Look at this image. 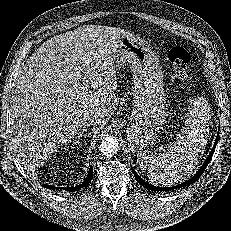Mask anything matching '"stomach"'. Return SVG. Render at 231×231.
Wrapping results in <instances>:
<instances>
[{"label":"stomach","instance_id":"1","mask_svg":"<svg viewBox=\"0 0 231 231\" xmlns=\"http://www.w3.org/2000/svg\"><path fill=\"white\" fill-rule=\"evenodd\" d=\"M114 66L128 65L133 79V109L126 129L133 152L153 144L167 119L163 71L152 47L134 34L123 36L113 54Z\"/></svg>","mask_w":231,"mask_h":231}]
</instances>
